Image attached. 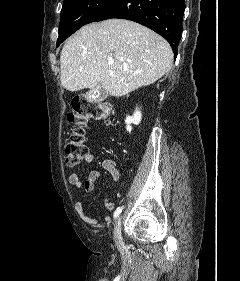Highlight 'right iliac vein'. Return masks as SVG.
<instances>
[{"label": "right iliac vein", "instance_id": "1", "mask_svg": "<svg viewBox=\"0 0 240 281\" xmlns=\"http://www.w3.org/2000/svg\"><path fill=\"white\" fill-rule=\"evenodd\" d=\"M121 217H118L115 221L114 225V240L117 245H121L122 243V236H121Z\"/></svg>", "mask_w": 240, "mask_h": 281}]
</instances>
